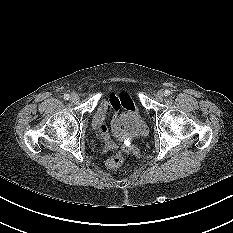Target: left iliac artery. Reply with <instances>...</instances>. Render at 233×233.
Returning <instances> with one entry per match:
<instances>
[{"label": "left iliac artery", "instance_id": "left-iliac-artery-1", "mask_svg": "<svg viewBox=\"0 0 233 233\" xmlns=\"http://www.w3.org/2000/svg\"><path fill=\"white\" fill-rule=\"evenodd\" d=\"M171 94V92H170V90H165L164 91V95L167 97V96H169Z\"/></svg>", "mask_w": 233, "mask_h": 233}]
</instances>
